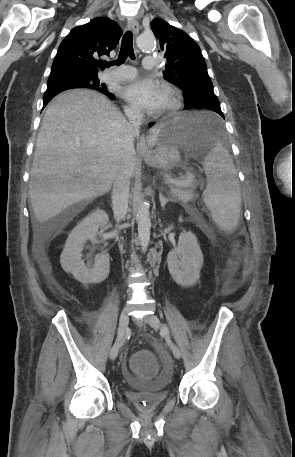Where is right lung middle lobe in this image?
Wrapping results in <instances>:
<instances>
[{
  "mask_svg": "<svg viewBox=\"0 0 295 457\" xmlns=\"http://www.w3.org/2000/svg\"><path fill=\"white\" fill-rule=\"evenodd\" d=\"M82 84H83L84 88H91V89L106 88V86L104 84L99 83V79L97 76L85 78L82 81ZM61 91H63V90L47 89L44 94L43 99L49 100V99L53 98L55 95H57L58 93H60Z\"/></svg>",
  "mask_w": 295,
  "mask_h": 457,
  "instance_id": "1",
  "label": "right lung middle lobe"
}]
</instances>
